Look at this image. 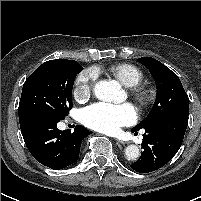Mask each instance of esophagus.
<instances>
[{
    "instance_id": "obj_1",
    "label": "esophagus",
    "mask_w": 201,
    "mask_h": 201,
    "mask_svg": "<svg viewBox=\"0 0 201 201\" xmlns=\"http://www.w3.org/2000/svg\"><path fill=\"white\" fill-rule=\"evenodd\" d=\"M115 141H116L117 144H126V142L118 140V139H115Z\"/></svg>"
}]
</instances>
